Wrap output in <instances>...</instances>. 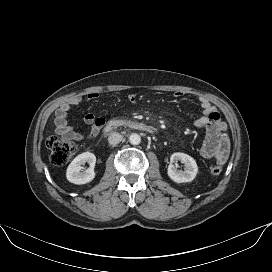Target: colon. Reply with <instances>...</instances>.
<instances>
[{
  "mask_svg": "<svg viewBox=\"0 0 272 272\" xmlns=\"http://www.w3.org/2000/svg\"><path fill=\"white\" fill-rule=\"evenodd\" d=\"M47 147L50 150V159L53 164L61 166L66 164L76 151L75 145L58 135H52L47 139ZM210 172L214 176H218L222 172L220 165H214L210 168Z\"/></svg>",
  "mask_w": 272,
  "mask_h": 272,
  "instance_id": "colon-1",
  "label": "colon"
}]
</instances>
